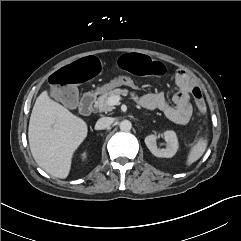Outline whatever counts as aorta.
Instances as JSON below:
<instances>
[{
	"label": "aorta",
	"mask_w": 241,
	"mask_h": 241,
	"mask_svg": "<svg viewBox=\"0 0 241 241\" xmlns=\"http://www.w3.org/2000/svg\"><path fill=\"white\" fill-rule=\"evenodd\" d=\"M120 130L127 132L130 131L132 128V123L129 120H123L119 124Z\"/></svg>",
	"instance_id": "obj_1"
}]
</instances>
